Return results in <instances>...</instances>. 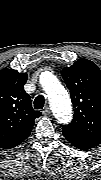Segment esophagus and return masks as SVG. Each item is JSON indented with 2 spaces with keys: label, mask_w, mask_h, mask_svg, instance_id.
I'll list each match as a JSON object with an SVG mask.
<instances>
[{
  "label": "esophagus",
  "mask_w": 101,
  "mask_h": 180,
  "mask_svg": "<svg viewBox=\"0 0 101 180\" xmlns=\"http://www.w3.org/2000/svg\"><path fill=\"white\" fill-rule=\"evenodd\" d=\"M42 114L44 115H49L50 114V109L48 106L44 107V109L42 110Z\"/></svg>",
  "instance_id": "esophagus-1"
}]
</instances>
